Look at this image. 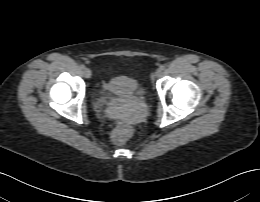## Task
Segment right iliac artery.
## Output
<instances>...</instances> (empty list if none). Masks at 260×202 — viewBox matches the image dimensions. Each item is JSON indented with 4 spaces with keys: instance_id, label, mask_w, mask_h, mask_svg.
<instances>
[{
    "instance_id": "82829eb1",
    "label": "right iliac artery",
    "mask_w": 260,
    "mask_h": 202,
    "mask_svg": "<svg viewBox=\"0 0 260 202\" xmlns=\"http://www.w3.org/2000/svg\"><path fill=\"white\" fill-rule=\"evenodd\" d=\"M80 68H81V69H85V65H84V64H81V65H80Z\"/></svg>"
}]
</instances>
